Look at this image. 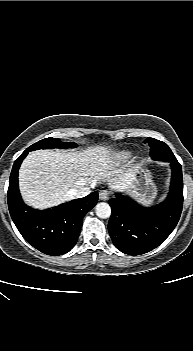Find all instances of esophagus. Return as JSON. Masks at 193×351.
I'll return each mask as SVG.
<instances>
[{"instance_id":"obj_1","label":"esophagus","mask_w":193,"mask_h":351,"mask_svg":"<svg viewBox=\"0 0 193 351\" xmlns=\"http://www.w3.org/2000/svg\"><path fill=\"white\" fill-rule=\"evenodd\" d=\"M110 196V192L107 190H101L99 192V199L100 200H107Z\"/></svg>"}]
</instances>
